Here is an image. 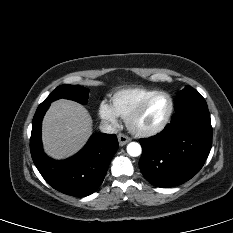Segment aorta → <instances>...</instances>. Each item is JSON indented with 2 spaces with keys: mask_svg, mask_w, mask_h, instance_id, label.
Returning a JSON list of instances; mask_svg holds the SVG:
<instances>
[{
  "mask_svg": "<svg viewBox=\"0 0 233 233\" xmlns=\"http://www.w3.org/2000/svg\"><path fill=\"white\" fill-rule=\"evenodd\" d=\"M127 153L132 157H137L142 153L141 145L137 142H131L127 145Z\"/></svg>",
  "mask_w": 233,
  "mask_h": 233,
  "instance_id": "obj_1",
  "label": "aorta"
}]
</instances>
